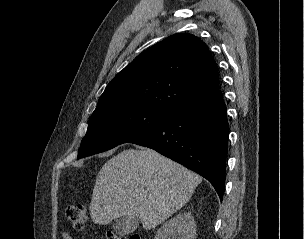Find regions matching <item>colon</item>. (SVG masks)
<instances>
[{
    "label": "colon",
    "mask_w": 304,
    "mask_h": 239,
    "mask_svg": "<svg viewBox=\"0 0 304 239\" xmlns=\"http://www.w3.org/2000/svg\"><path fill=\"white\" fill-rule=\"evenodd\" d=\"M65 215L75 230H82L84 228L87 220V210L83 205H68L65 210ZM105 239H141V237L138 234L125 236L113 231H107L105 233Z\"/></svg>",
    "instance_id": "5ec220e1"
}]
</instances>
